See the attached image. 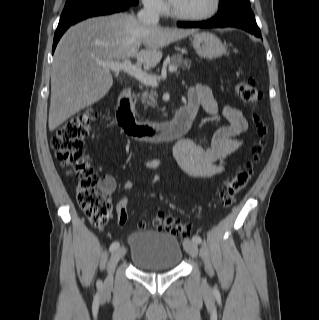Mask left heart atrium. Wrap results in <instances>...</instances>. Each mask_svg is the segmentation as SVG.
<instances>
[{
    "label": "left heart atrium",
    "instance_id": "1",
    "mask_svg": "<svg viewBox=\"0 0 319 320\" xmlns=\"http://www.w3.org/2000/svg\"><path fill=\"white\" fill-rule=\"evenodd\" d=\"M177 1L178 0H169L170 4L173 5V6L176 5Z\"/></svg>",
    "mask_w": 319,
    "mask_h": 320
}]
</instances>
